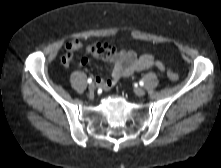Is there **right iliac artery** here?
Here are the masks:
<instances>
[{
	"mask_svg": "<svg viewBox=\"0 0 221 168\" xmlns=\"http://www.w3.org/2000/svg\"><path fill=\"white\" fill-rule=\"evenodd\" d=\"M87 82H88L89 84H91V83H92V79L89 78V79L87 80Z\"/></svg>",
	"mask_w": 221,
	"mask_h": 168,
	"instance_id": "right-iliac-artery-1",
	"label": "right iliac artery"
}]
</instances>
